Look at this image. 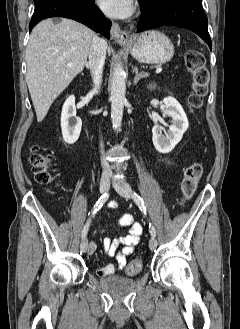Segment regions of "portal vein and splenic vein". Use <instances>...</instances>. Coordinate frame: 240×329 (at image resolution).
Listing matches in <instances>:
<instances>
[{
    "label": "portal vein and splenic vein",
    "mask_w": 240,
    "mask_h": 329,
    "mask_svg": "<svg viewBox=\"0 0 240 329\" xmlns=\"http://www.w3.org/2000/svg\"><path fill=\"white\" fill-rule=\"evenodd\" d=\"M68 66H69V67H73L72 64H68ZM161 72H162V67L160 66V67H158V68L156 69V73L159 74V73H161Z\"/></svg>",
    "instance_id": "18ae733b"
}]
</instances>
